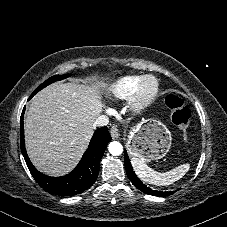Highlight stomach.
<instances>
[{"label": "stomach", "instance_id": "obj_1", "mask_svg": "<svg viewBox=\"0 0 227 227\" xmlns=\"http://www.w3.org/2000/svg\"><path fill=\"white\" fill-rule=\"evenodd\" d=\"M171 133L158 120L147 119L134 126L129 133L127 150L143 162L163 158L171 147Z\"/></svg>", "mask_w": 227, "mask_h": 227}]
</instances>
